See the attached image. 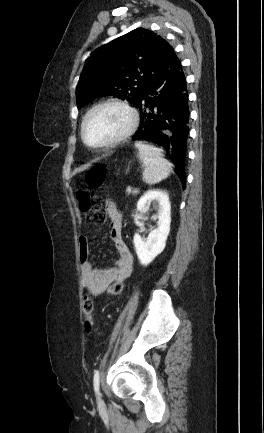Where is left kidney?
I'll return each mask as SVG.
<instances>
[{
    "instance_id": "1",
    "label": "left kidney",
    "mask_w": 264,
    "mask_h": 433,
    "mask_svg": "<svg viewBox=\"0 0 264 433\" xmlns=\"http://www.w3.org/2000/svg\"><path fill=\"white\" fill-rule=\"evenodd\" d=\"M151 202L158 206L155 216L158 219L157 228L151 230L146 240L139 234H135L133 238L138 259L143 266L149 265L164 250L170 232L171 205L168 193L164 190H148L139 199L137 210L146 214Z\"/></svg>"
}]
</instances>
